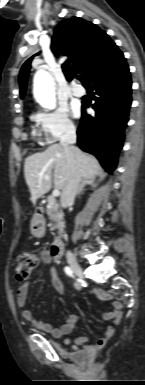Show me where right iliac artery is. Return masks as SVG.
<instances>
[{"label": "right iliac artery", "instance_id": "obj_1", "mask_svg": "<svg viewBox=\"0 0 145 385\" xmlns=\"http://www.w3.org/2000/svg\"><path fill=\"white\" fill-rule=\"evenodd\" d=\"M64 270H65V273H66L68 276L74 277L73 271L71 270L70 267L66 266V267L64 268Z\"/></svg>", "mask_w": 145, "mask_h": 385}]
</instances>
